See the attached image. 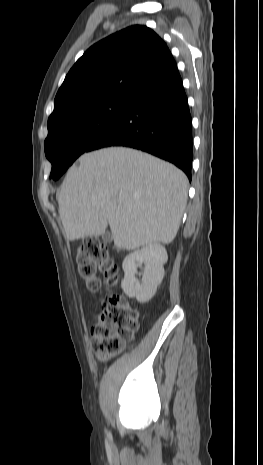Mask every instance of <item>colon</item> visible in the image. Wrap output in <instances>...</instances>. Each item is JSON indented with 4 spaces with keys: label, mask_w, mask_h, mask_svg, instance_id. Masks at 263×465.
I'll return each instance as SVG.
<instances>
[{
    "label": "colon",
    "mask_w": 263,
    "mask_h": 465,
    "mask_svg": "<svg viewBox=\"0 0 263 465\" xmlns=\"http://www.w3.org/2000/svg\"><path fill=\"white\" fill-rule=\"evenodd\" d=\"M76 261L80 276L90 291L101 288L98 272L104 276L105 285H118V267L110 256L108 247L97 238H87L77 249ZM102 312L91 329V343L100 361L118 354L127 342L134 339L139 328L138 314L119 293L107 294L102 301Z\"/></svg>",
    "instance_id": "obj_1"
}]
</instances>
